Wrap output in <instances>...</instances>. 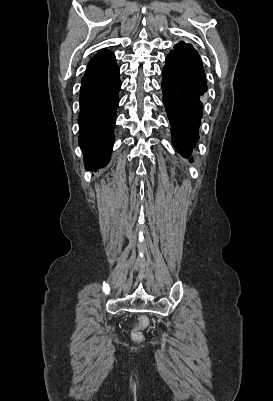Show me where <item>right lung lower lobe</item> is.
<instances>
[{
	"label": "right lung lower lobe",
	"mask_w": 273,
	"mask_h": 401,
	"mask_svg": "<svg viewBox=\"0 0 273 401\" xmlns=\"http://www.w3.org/2000/svg\"><path fill=\"white\" fill-rule=\"evenodd\" d=\"M119 72L114 60L86 71L82 78L78 123L86 170L105 167L110 159L121 88Z\"/></svg>",
	"instance_id": "obj_1"
}]
</instances>
